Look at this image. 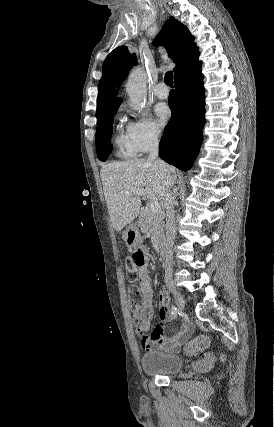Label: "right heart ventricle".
Wrapping results in <instances>:
<instances>
[{
  "instance_id": "1",
  "label": "right heart ventricle",
  "mask_w": 274,
  "mask_h": 427,
  "mask_svg": "<svg viewBox=\"0 0 274 427\" xmlns=\"http://www.w3.org/2000/svg\"><path fill=\"white\" fill-rule=\"evenodd\" d=\"M112 142L117 157L132 160L138 156V151L131 142L127 131L118 129L113 136Z\"/></svg>"
}]
</instances>
